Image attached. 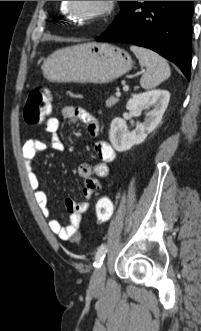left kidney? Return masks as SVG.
<instances>
[{
    "instance_id": "left-kidney-1",
    "label": "left kidney",
    "mask_w": 201,
    "mask_h": 331,
    "mask_svg": "<svg viewBox=\"0 0 201 331\" xmlns=\"http://www.w3.org/2000/svg\"><path fill=\"white\" fill-rule=\"evenodd\" d=\"M169 100L170 93L166 90H151L133 95L126 104L127 110L133 114H140L147 107L151 106L153 109L146 114V120L137 124L133 131L128 130L122 118L113 119L109 139L114 149L119 152L128 151L134 145L144 142L148 134L161 122Z\"/></svg>"
}]
</instances>
